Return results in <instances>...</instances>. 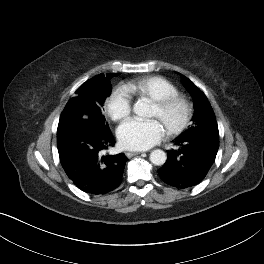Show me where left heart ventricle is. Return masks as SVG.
<instances>
[{"label": "left heart ventricle", "mask_w": 264, "mask_h": 264, "mask_svg": "<svg viewBox=\"0 0 264 264\" xmlns=\"http://www.w3.org/2000/svg\"><path fill=\"white\" fill-rule=\"evenodd\" d=\"M180 114H181L180 110L177 109V110H174L168 117L160 118L159 114H158V110L155 106H154L153 111H152V116L159 118L165 128L168 125L175 123L178 120V118L180 117Z\"/></svg>", "instance_id": "1"}]
</instances>
